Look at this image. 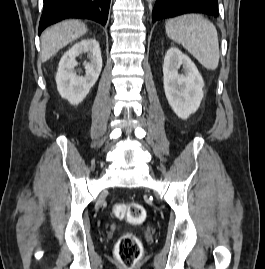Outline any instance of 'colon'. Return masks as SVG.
Wrapping results in <instances>:
<instances>
[{
  "label": "colon",
  "mask_w": 265,
  "mask_h": 269,
  "mask_svg": "<svg viewBox=\"0 0 265 269\" xmlns=\"http://www.w3.org/2000/svg\"><path fill=\"white\" fill-rule=\"evenodd\" d=\"M113 213L131 224L141 223L146 215L143 205L137 202L117 203L113 207ZM115 255L126 268L132 269L142 255L139 239L132 233L123 234L116 243Z\"/></svg>",
  "instance_id": "5ec220e1"
}]
</instances>
